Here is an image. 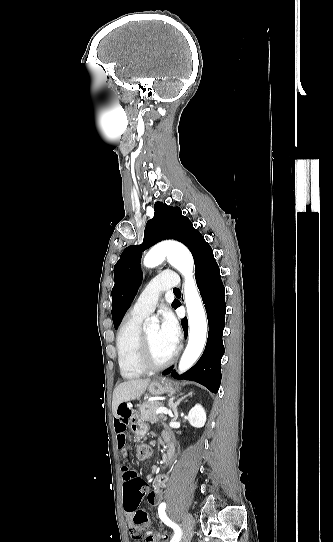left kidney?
<instances>
[{
    "label": "left kidney",
    "mask_w": 333,
    "mask_h": 542,
    "mask_svg": "<svg viewBox=\"0 0 333 542\" xmlns=\"http://www.w3.org/2000/svg\"><path fill=\"white\" fill-rule=\"evenodd\" d=\"M187 420L193 428H203L207 420L203 406H201V404H195L194 408H191Z\"/></svg>",
    "instance_id": "5707ae66"
}]
</instances>
